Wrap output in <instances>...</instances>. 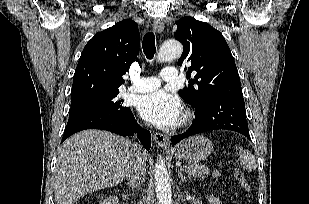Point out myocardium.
<instances>
[{
	"instance_id": "myocardium-1",
	"label": "myocardium",
	"mask_w": 309,
	"mask_h": 204,
	"mask_svg": "<svg viewBox=\"0 0 309 204\" xmlns=\"http://www.w3.org/2000/svg\"><path fill=\"white\" fill-rule=\"evenodd\" d=\"M190 119H191V114H190L189 112H186V113L184 114V116H183V119H182V121H181V124H182V125L187 124V123L190 121Z\"/></svg>"
}]
</instances>
